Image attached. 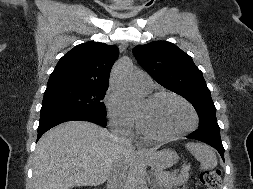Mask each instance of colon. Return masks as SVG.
Returning <instances> with one entry per match:
<instances>
[{
  "instance_id": "1",
  "label": "colon",
  "mask_w": 253,
  "mask_h": 189,
  "mask_svg": "<svg viewBox=\"0 0 253 189\" xmlns=\"http://www.w3.org/2000/svg\"><path fill=\"white\" fill-rule=\"evenodd\" d=\"M199 179L202 189H218L221 184L219 170H201Z\"/></svg>"
}]
</instances>
